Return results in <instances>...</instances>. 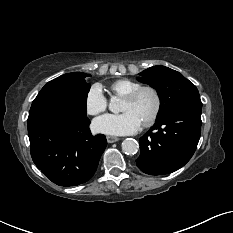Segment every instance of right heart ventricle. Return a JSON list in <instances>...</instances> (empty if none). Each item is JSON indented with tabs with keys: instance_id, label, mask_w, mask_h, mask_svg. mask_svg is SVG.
<instances>
[{
	"instance_id": "e07e8e85",
	"label": "right heart ventricle",
	"mask_w": 233,
	"mask_h": 233,
	"mask_svg": "<svg viewBox=\"0 0 233 233\" xmlns=\"http://www.w3.org/2000/svg\"><path fill=\"white\" fill-rule=\"evenodd\" d=\"M140 86L141 84L136 81L130 79H119L111 83L110 90L114 95L124 97Z\"/></svg>"
}]
</instances>
